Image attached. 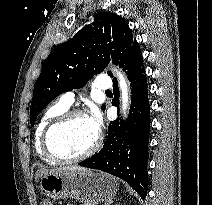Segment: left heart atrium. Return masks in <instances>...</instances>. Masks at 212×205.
Masks as SVG:
<instances>
[{
	"mask_svg": "<svg viewBox=\"0 0 212 205\" xmlns=\"http://www.w3.org/2000/svg\"><path fill=\"white\" fill-rule=\"evenodd\" d=\"M86 118H87L91 128L93 129V131L96 133V135H98L100 133L101 125H102V121H101V117H100L99 113L92 112Z\"/></svg>",
	"mask_w": 212,
	"mask_h": 205,
	"instance_id": "1",
	"label": "left heart atrium"
}]
</instances>
